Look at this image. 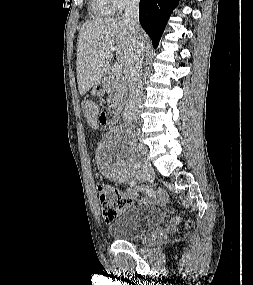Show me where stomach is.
I'll use <instances>...</instances> for the list:
<instances>
[{"mask_svg": "<svg viewBox=\"0 0 253 285\" xmlns=\"http://www.w3.org/2000/svg\"><path fill=\"white\" fill-rule=\"evenodd\" d=\"M104 93V87L102 85V83H96L93 88H92V91H91V94L92 95H95V96H100Z\"/></svg>", "mask_w": 253, "mask_h": 285, "instance_id": "stomach-1", "label": "stomach"}]
</instances>
